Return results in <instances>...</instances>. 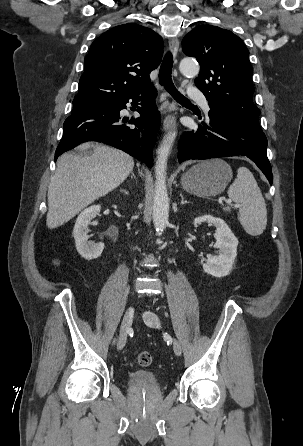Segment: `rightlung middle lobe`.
Instances as JSON below:
<instances>
[{
  "label": "right lung middle lobe",
  "mask_w": 303,
  "mask_h": 446,
  "mask_svg": "<svg viewBox=\"0 0 303 446\" xmlns=\"http://www.w3.org/2000/svg\"><path fill=\"white\" fill-rule=\"evenodd\" d=\"M89 108H92V107H90V102H88L86 100L78 99V98H75L73 100V111L72 112H77V111H81V110H85V109H89Z\"/></svg>",
  "instance_id": "dd1d6c3e"
}]
</instances>
